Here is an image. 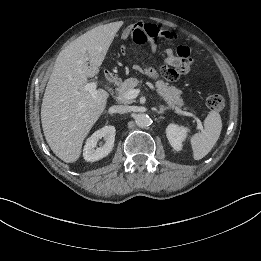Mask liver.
Returning a JSON list of instances; mask_svg holds the SVG:
<instances>
[{"instance_id":"obj_1","label":"liver","mask_w":261,"mask_h":261,"mask_svg":"<svg viewBox=\"0 0 261 261\" xmlns=\"http://www.w3.org/2000/svg\"><path fill=\"white\" fill-rule=\"evenodd\" d=\"M117 30L115 24L96 27L72 41L55 61L41 122L51 150L67 163L80 157L84 139L105 110L109 93L98 89L93 97L84 86L99 72Z\"/></svg>"}]
</instances>
